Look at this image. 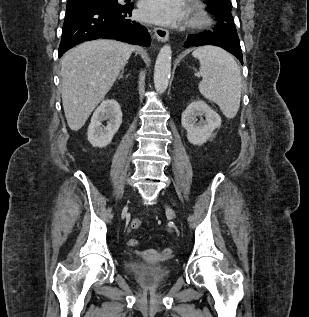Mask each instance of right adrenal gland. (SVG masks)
<instances>
[{"mask_svg": "<svg viewBox=\"0 0 309 317\" xmlns=\"http://www.w3.org/2000/svg\"><path fill=\"white\" fill-rule=\"evenodd\" d=\"M124 69H122L121 73L119 74V79L123 78Z\"/></svg>", "mask_w": 309, "mask_h": 317, "instance_id": "1", "label": "right adrenal gland"}]
</instances>
